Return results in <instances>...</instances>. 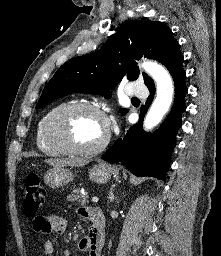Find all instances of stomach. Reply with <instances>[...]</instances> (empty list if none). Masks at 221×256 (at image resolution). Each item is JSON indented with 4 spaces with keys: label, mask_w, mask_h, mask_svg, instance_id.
I'll return each instance as SVG.
<instances>
[{
    "label": "stomach",
    "mask_w": 221,
    "mask_h": 256,
    "mask_svg": "<svg viewBox=\"0 0 221 256\" xmlns=\"http://www.w3.org/2000/svg\"><path fill=\"white\" fill-rule=\"evenodd\" d=\"M117 173V168L105 164H100L95 165L89 171V177L96 183L105 184L111 179L112 175H116ZM73 178L74 176L69 169L57 167L47 171L44 176V181L49 187L58 188L63 184L71 182Z\"/></svg>",
    "instance_id": "obj_1"
}]
</instances>
